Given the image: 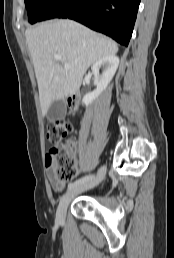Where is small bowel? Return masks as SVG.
<instances>
[{"label":"small bowel","instance_id":"c3829d8e","mask_svg":"<svg viewBox=\"0 0 174 258\" xmlns=\"http://www.w3.org/2000/svg\"><path fill=\"white\" fill-rule=\"evenodd\" d=\"M81 161V160H80ZM79 168L81 169V165L79 164ZM49 171H50V175H49V182L51 187L55 190V191H61L65 185V182L63 180H60L58 178H56L53 174V165H49Z\"/></svg>","mask_w":174,"mask_h":258}]
</instances>
